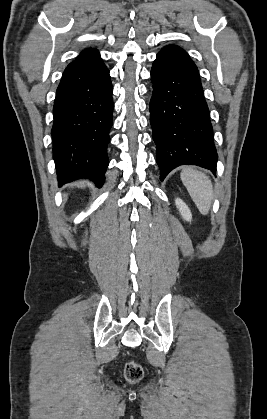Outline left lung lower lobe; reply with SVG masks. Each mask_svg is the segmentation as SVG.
Listing matches in <instances>:
<instances>
[{"label":"left lung lower lobe","mask_w":267,"mask_h":419,"mask_svg":"<svg viewBox=\"0 0 267 419\" xmlns=\"http://www.w3.org/2000/svg\"><path fill=\"white\" fill-rule=\"evenodd\" d=\"M151 76L150 123L160 180L179 165L215 173L218 156L197 66L182 48L168 45L157 54Z\"/></svg>","instance_id":"0a47b994"}]
</instances>
